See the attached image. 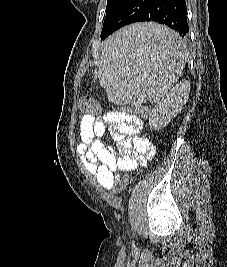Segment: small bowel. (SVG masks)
Returning <instances> with one entry per match:
<instances>
[{
	"mask_svg": "<svg viewBox=\"0 0 227 267\" xmlns=\"http://www.w3.org/2000/svg\"><path fill=\"white\" fill-rule=\"evenodd\" d=\"M110 127L118 148L107 146L102 137ZM143 123L138 116L113 111L101 117L85 114L79 123V158L87 172L104 189L114 187L112 173L121 169L134 171L145 166L155 155L153 143L140 135Z\"/></svg>",
	"mask_w": 227,
	"mask_h": 267,
	"instance_id": "obj_1",
	"label": "small bowel"
}]
</instances>
